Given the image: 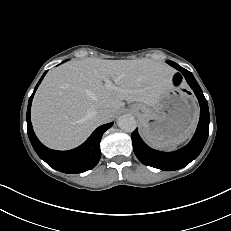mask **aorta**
Returning a JSON list of instances; mask_svg holds the SVG:
<instances>
[{
    "label": "aorta",
    "mask_w": 231,
    "mask_h": 231,
    "mask_svg": "<svg viewBox=\"0 0 231 231\" xmlns=\"http://www.w3.org/2000/svg\"><path fill=\"white\" fill-rule=\"evenodd\" d=\"M120 129L125 132H132L136 128V121L131 115H122L117 119Z\"/></svg>",
    "instance_id": "obj_1"
}]
</instances>
